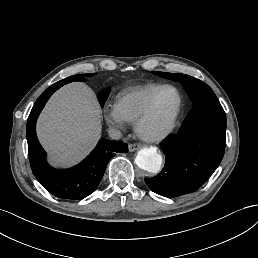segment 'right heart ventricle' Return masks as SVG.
Returning <instances> with one entry per match:
<instances>
[{
    "label": "right heart ventricle",
    "instance_id": "right-heart-ventricle-1",
    "mask_svg": "<svg viewBox=\"0 0 258 258\" xmlns=\"http://www.w3.org/2000/svg\"><path fill=\"white\" fill-rule=\"evenodd\" d=\"M159 87L158 84H146L125 89L116 96V107L126 121L133 123Z\"/></svg>",
    "mask_w": 258,
    "mask_h": 258
}]
</instances>
